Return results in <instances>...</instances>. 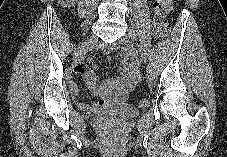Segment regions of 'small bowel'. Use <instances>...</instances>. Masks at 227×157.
<instances>
[{"label":"small bowel","instance_id":"c3829d8e","mask_svg":"<svg viewBox=\"0 0 227 157\" xmlns=\"http://www.w3.org/2000/svg\"><path fill=\"white\" fill-rule=\"evenodd\" d=\"M163 9L169 12L172 9V0H160ZM113 45H109L107 50H111ZM123 77L106 79L99 82L94 70L89 69L85 64L79 63L75 68V74L82 76L93 94L100 99L97 103L89 104L77 101V105L82 110L95 111L104 107L108 101H124L130 91L136 87L140 80V65L132 50H125L121 65ZM71 95L75 98L78 94V87L75 83H70Z\"/></svg>","mask_w":227,"mask_h":157}]
</instances>
